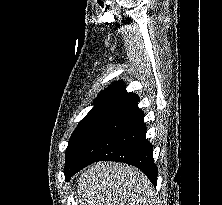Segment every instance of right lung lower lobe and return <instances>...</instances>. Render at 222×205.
Segmentation results:
<instances>
[{"label":"right lung lower lobe","mask_w":222,"mask_h":205,"mask_svg":"<svg viewBox=\"0 0 222 205\" xmlns=\"http://www.w3.org/2000/svg\"><path fill=\"white\" fill-rule=\"evenodd\" d=\"M138 100L133 94L107 112L64 170L66 180L94 162L107 160L136 166L156 185L158 169L153 160V147L146 139L144 114L138 108Z\"/></svg>","instance_id":"98d812e1"}]
</instances>
